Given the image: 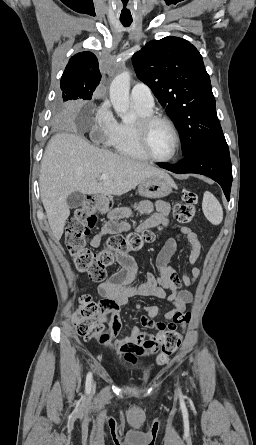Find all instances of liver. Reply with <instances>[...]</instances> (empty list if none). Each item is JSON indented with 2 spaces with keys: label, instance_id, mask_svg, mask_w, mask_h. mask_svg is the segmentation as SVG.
I'll list each match as a JSON object with an SVG mask.
<instances>
[{
  "label": "liver",
  "instance_id": "1",
  "mask_svg": "<svg viewBox=\"0 0 256 445\" xmlns=\"http://www.w3.org/2000/svg\"><path fill=\"white\" fill-rule=\"evenodd\" d=\"M102 174L109 178L101 180ZM156 175L167 176L146 163L94 147L74 133L55 134L45 149L39 177L42 203L55 240H60L70 215L66 200L72 192L120 196Z\"/></svg>",
  "mask_w": 256,
  "mask_h": 445
}]
</instances>
